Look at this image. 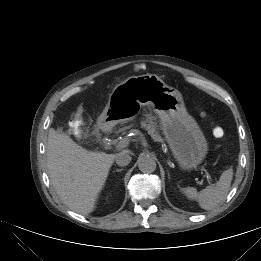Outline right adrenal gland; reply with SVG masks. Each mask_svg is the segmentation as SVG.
<instances>
[{
    "label": "right adrenal gland",
    "mask_w": 261,
    "mask_h": 261,
    "mask_svg": "<svg viewBox=\"0 0 261 261\" xmlns=\"http://www.w3.org/2000/svg\"><path fill=\"white\" fill-rule=\"evenodd\" d=\"M123 169H116V172H121Z\"/></svg>",
    "instance_id": "right-adrenal-gland-1"
}]
</instances>
